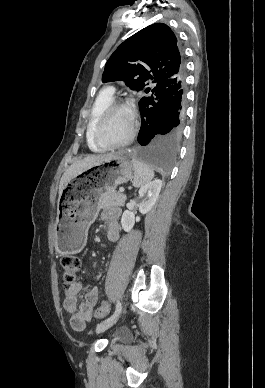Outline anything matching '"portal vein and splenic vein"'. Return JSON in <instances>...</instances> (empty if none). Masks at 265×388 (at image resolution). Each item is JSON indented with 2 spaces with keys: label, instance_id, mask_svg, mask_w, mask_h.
<instances>
[{
  "label": "portal vein and splenic vein",
  "instance_id": "18ae733b",
  "mask_svg": "<svg viewBox=\"0 0 265 388\" xmlns=\"http://www.w3.org/2000/svg\"><path fill=\"white\" fill-rule=\"evenodd\" d=\"M119 192H124V188H119Z\"/></svg>",
  "mask_w": 265,
  "mask_h": 388
}]
</instances>
